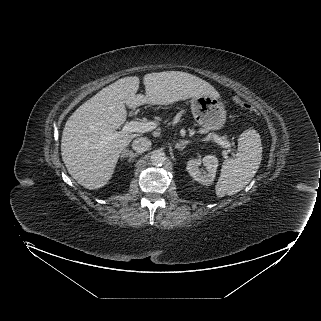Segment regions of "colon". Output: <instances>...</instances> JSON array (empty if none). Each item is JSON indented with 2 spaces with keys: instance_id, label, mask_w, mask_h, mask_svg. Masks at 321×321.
<instances>
[{
  "instance_id": "colon-1",
  "label": "colon",
  "mask_w": 321,
  "mask_h": 321,
  "mask_svg": "<svg viewBox=\"0 0 321 321\" xmlns=\"http://www.w3.org/2000/svg\"><path fill=\"white\" fill-rule=\"evenodd\" d=\"M234 101L236 104L244 107V108H247V109H250V110H253V107L245 102H243L242 100H240L239 98L237 97H234Z\"/></svg>"
}]
</instances>
